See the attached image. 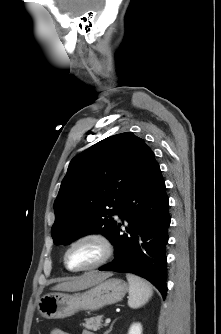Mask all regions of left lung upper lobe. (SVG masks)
<instances>
[{
    "mask_svg": "<svg viewBox=\"0 0 221 334\" xmlns=\"http://www.w3.org/2000/svg\"><path fill=\"white\" fill-rule=\"evenodd\" d=\"M154 159L144 140L131 132L110 136L75 156L54 202V243L66 245L90 233L110 240L124 198Z\"/></svg>",
    "mask_w": 221,
    "mask_h": 334,
    "instance_id": "1",
    "label": "left lung upper lobe"
}]
</instances>
